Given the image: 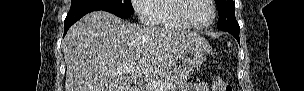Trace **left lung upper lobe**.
I'll list each match as a JSON object with an SVG mask.
<instances>
[{
    "label": "left lung upper lobe",
    "instance_id": "5c2ea615",
    "mask_svg": "<svg viewBox=\"0 0 304 91\" xmlns=\"http://www.w3.org/2000/svg\"><path fill=\"white\" fill-rule=\"evenodd\" d=\"M219 13L218 29L239 31L240 27L235 17L233 0H215Z\"/></svg>",
    "mask_w": 304,
    "mask_h": 91
}]
</instances>
